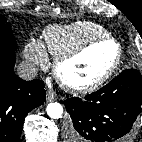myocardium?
<instances>
[{
    "label": "myocardium",
    "instance_id": "1",
    "mask_svg": "<svg viewBox=\"0 0 142 142\" xmlns=\"http://www.w3.org/2000/svg\"><path fill=\"white\" fill-rule=\"evenodd\" d=\"M104 42L113 43L117 50L115 59L110 65V67L100 77L90 83L79 85L69 82L62 74L63 66L84 55L88 50L95 47L96 45H99ZM122 57L123 49L119 41L112 36L104 35L97 38H93L85 42L81 46L77 47L76 49L57 57L53 65V73L60 85L66 90L75 94H88L99 89L114 75V73L117 71L121 64Z\"/></svg>",
    "mask_w": 142,
    "mask_h": 142
}]
</instances>
